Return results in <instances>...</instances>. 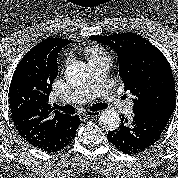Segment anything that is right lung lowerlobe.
<instances>
[{
  "instance_id": "98d812e1",
  "label": "right lung lower lobe",
  "mask_w": 178,
  "mask_h": 178,
  "mask_svg": "<svg viewBox=\"0 0 178 178\" xmlns=\"http://www.w3.org/2000/svg\"><path fill=\"white\" fill-rule=\"evenodd\" d=\"M75 117L77 119H75L71 123V126L67 127L63 132L59 133L49 142L37 148L48 151V152H56L58 150H61L65 146H67L71 141H73L77 127L81 124L79 117L78 116H75Z\"/></svg>"
}]
</instances>
